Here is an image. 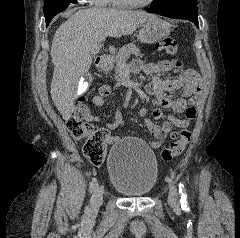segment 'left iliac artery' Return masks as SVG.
<instances>
[{
	"label": "left iliac artery",
	"instance_id": "obj_1",
	"mask_svg": "<svg viewBox=\"0 0 240 238\" xmlns=\"http://www.w3.org/2000/svg\"><path fill=\"white\" fill-rule=\"evenodd\" d=\"M179 193L181 195V206L182 208L186 209L187 207V200H186V188L183 183H179Z\"/></svg>",
	"mask_w": 240,
	"mask_h": 238
}]
</instances>
